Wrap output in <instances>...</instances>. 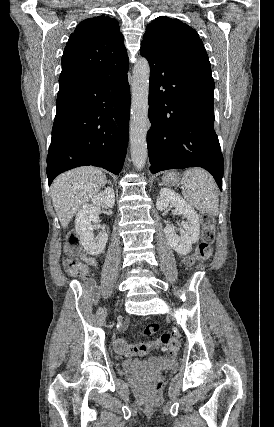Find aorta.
I'll use <instances>...</instances> for the list:
<instances>
[{
	"label": "aorta",
	"instance_id": "obj_1",
	"mask_svg": "<svg viewBox=\"0 0 274 427\" xmlns=\"http://www.w3.org/2000/svg\"><path fill=\"white\" fill-rule=\"evenodd\" d=\"M150 66L146 58H140L134 65L131 85L130 152L137 169L145 166L147 132L151 126L148 119Z\"/></svg>",
	"mask_w": 274,
	"mask_h": 427
}]
</instances>
